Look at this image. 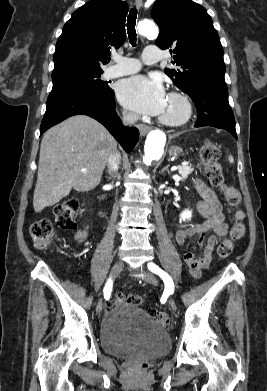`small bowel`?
<instances>
[{"label": "small bowel", "mask_w": 267, "mask_h": 391, "mask_svg": "<svg viewBox=\"0 0 267 391\" xmlns=\"http://www.w3.org/2000/svg\"><path fill=\"white\" fill-rule=\"evenodd\" d=\"M194 186L200 196L197 211L204 218V221L190 228L178 229L175 232V242L181 246L190 240H196L201 249L200 254L187 252L184 260L192 274L198 277L202 270L209 265L217 239L227 234L228 225L225 223L222 205L215 192L201 180H195ZM87 238V227L78 229L74 234V240L77 244L85 242Z\"/></svg>", "instance_id": "1"}]
</instances>
